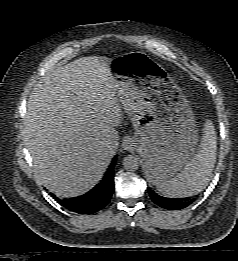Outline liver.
Masks as SVG:
<instances>
[{"instance_id":"1","label":"liver","mask_w":238,"mask_h":261,"mask_svg":"<svg viewBox=\"0 0 238 261\" xmlns=\"http://www.w3.org/2000/svg\"><path fill=\"white\" fill-rule=\"evenodd\" d=\"M111 60L83 57L42 77L31 93L22 136L35 177L61 197L92 189L103 177L119 144L115 127L123 114ZM114 146V153L106 144Z\"/></svg>"}]
</instances>
